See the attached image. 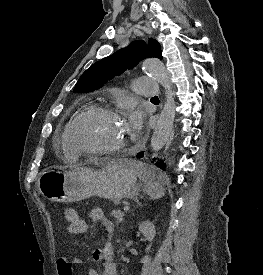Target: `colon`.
I'll return each instance as SVG.
<instances>
[{"label":"colon","mask_w":263,"mask_h":275,"mask_svg":"<svg viewBox=\"0 0 263 275\" xmlns=\"http://www.w3.org/2000/svg\"><path fill=\"white\" fill-rule=\"evenodd\" d=\"M63 216L69 223L75 222L78 219L76 209L67 207L63 210ZM73 257H63L57 260L59 275H73Z\"/></svg>","instance_id":"colon-1"}]
</instances>
